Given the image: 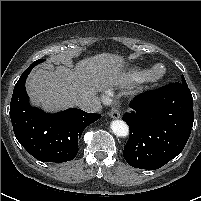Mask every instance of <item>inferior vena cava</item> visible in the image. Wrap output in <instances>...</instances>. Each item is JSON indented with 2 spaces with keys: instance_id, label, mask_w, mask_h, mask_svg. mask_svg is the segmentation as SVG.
<instances>
[{
  "instance_id": "inferior-vena-cava-1",
  "label": "inferior vena cava",
  "mask_w": 201,
  "mask_h": 201,
  "mask_svg": "<svg viewBox=\"0 0 201 201\" xmlns=\"http://www.w3.org/2000/svg\"><path fill=\"white\" fill-rule=\"evenodd\" d=\"M75 104L86 112H98L102 108L100 100L92 95H83L78 97Z\"/></svg>"
}]
</instances>
